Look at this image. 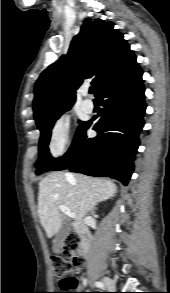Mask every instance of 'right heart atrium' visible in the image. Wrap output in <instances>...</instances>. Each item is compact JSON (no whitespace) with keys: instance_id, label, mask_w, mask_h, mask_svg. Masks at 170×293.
I'll use <instances>...</instances> for the list:
<instances>
[{"instance_id":"1","label":"right heart atrium","mask_w":170,"mask_h":293,"mask_svg":"<svg viewBox=\"0 0 170 293\" xmlns=\"http://www.w3.org/2000/svg\"><path fill=\"white\" fill-rule=\"evenodd\" d=\"M70 138V120L65 116H60L52 126L48 148L53 157L63 154Z\"/></svg>"}]
</instances>
